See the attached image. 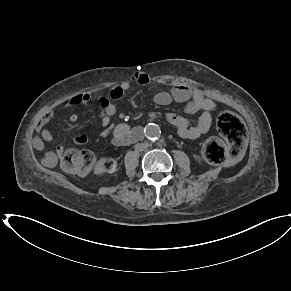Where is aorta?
Wrapping results in <instances>:
<instances>
[{"label":"aorta","mask_w":291,"mask_h":291,"mask_svg":"<svg viewBox=\"0 0 291 291\" xmlns=\"http://www.w3.org/2000/svg\"><path fill=\"white\" fill-rule=\"evenodd\" d=\"M145 135L150 140H155L160 136L161 130L157 124L150 123L145 127Z\"/></svg>","instance_id":"1"}]
</instances>
